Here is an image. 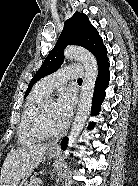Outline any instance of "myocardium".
<instances>
[{
	"label": "myocardium",
	"mask_w": 138,
	"mask_h": 186,
	"mask_svg": "<svg viewBox=\"0 0 138 186\" xmlns=\"http://www.w3.org/2000/svg\"><path fill=\"white\" fill-rule=\"evenodd\" d=\"M53 101L51 98H45L40 104L33 110L28 120V129L31 134L39 139H51L62 135L66 130V124L56 132H47L41 126V117L44 113L48 103Z\"/></svg>",
	"instance_id": "1"
}]
</instances>
